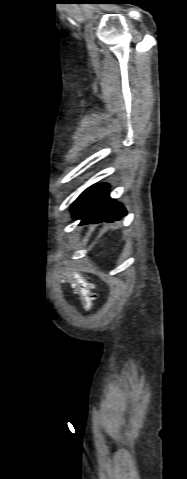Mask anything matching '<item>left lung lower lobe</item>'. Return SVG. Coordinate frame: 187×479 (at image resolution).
<instances>
[{
  "mask_svg": "<svg viewBox=\"0 0 187 479\" xmlns=\"http://www.w3.org/2000/svg\"><path fill=\"white\" fill-rule=\"evenodd\" d=\"M107 184H94L87 188L72 207L73 217L80 224L114 222L126 215L123 205L109 196Z\"/></svg>",
  "mask_w": 187,
  "mask_h": 479,
  "instance_id": "obj_1",
  "label": "left lung lower lobe"
}]
</instances>
